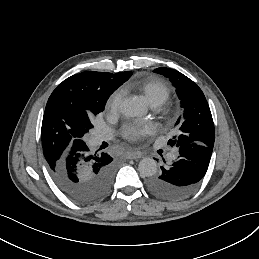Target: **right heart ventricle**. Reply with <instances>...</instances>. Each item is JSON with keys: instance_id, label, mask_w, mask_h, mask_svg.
Returning a JSON list of instances; mask_svg holds the SVG:
<instances>
[{"instance_id": "1", "label": "right heart ventricle", "mask_w": 259, "mask_h": 259, "mask_svg": "<svg viewBox=\"0 0 259 259\" xmlns=\"http://www.w3.org/2000/svg\"><path fill=\"white\" fill-rule=\"evenodd\" d=\"M119 91L126 93L128 91H137L144 95L147 102L157 107L170 99V89L161 81L145 82L144 78H137L131 82L124 83L120 86Z\"/></svg>"}]
</instances>
